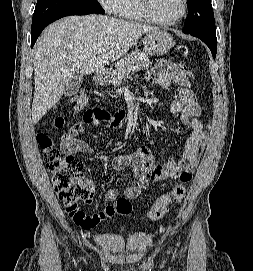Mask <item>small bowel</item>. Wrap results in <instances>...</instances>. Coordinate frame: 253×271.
<instances>
[{
    "instance_id": "1",
    "label": "small bowel",
    "mask_w": 253,
    "mask_h": 271,
    "mask_svg": "<svg viewBox=\"0 0 253 271\" xmlns=\"http://www.w3.org/2000/svg\"><path fill=\"white\" fill-rule=\"evenodd\" d=\"M189 76V72L184 71L182 68L166 60L159 61L157 65L148 72V81L164 90L168 89L171 84L179 86L177 94L170 102V112L180 117L185 129L186 140L184 153L181 161L171 159L164 165L155 164L152 152L146 145L138 147L133 153L114 157L112 166L115 170L120 171L128 167H131L133 170L136 183L126 189L125 197L127 199L137 198L148 187L150 180L162 181L165 179H179L182 173L187 171L192 174L198 166L203 148L208 139V134L206 124L199 120L201 107L191 90ZM101 122L94 121L93 119H83V121L74 125L62 137V151L66 154L93 153V148L86 141L79 139L77 136L89 126H98ZM105 122L109 127L114 125L112 118ZM118 196L119 193L116 189H110L105 194V199L108 202H113ZM114 214L115 212L111 205H107L101 211L93 215L96 217L97 224L102 220L111 218Z\"/></svg>"
}]
</instances>
